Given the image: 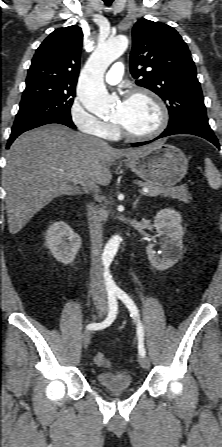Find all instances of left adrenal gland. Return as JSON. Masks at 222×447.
<instances>
[{"instance_id":"a2214340","label":"left adrenal gland","mask_w":222,"mask_h":447,"mask_svg":"<svg viewBox=\"0 0 222 447\" xmlns=\"http://www.w3.org/2000/svg\"><path fill=\"white\" fill-rule=\"evenodd\" d=\"M139 199H140V197H137V198L135 199V201H134V203H133V208H134V209L137 208V204H138V202H139Z\"/></svg>"}]
</instances>
